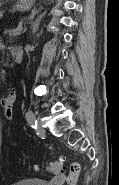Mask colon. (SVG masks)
<instances>
[{"label": "colon", "instance_id": "colon-1", "mask_svg": "<svg viewBox=\"0 0 119 185\" xmlns=\"http://www.w3.org/2000/svg\"><path fill=\"white\" fill-rule=\"evenodd\" d=\"M65 169V160L59 158L55 161L50 162L47 165V170L54 174L62 173ZM81 167L79 163H72L70 166L69 174L66 178L67 185H78Z\"/></svg>", "mask_w": 119, "mask_h": 185}]
</instances>
